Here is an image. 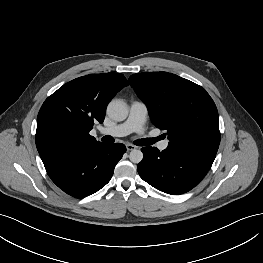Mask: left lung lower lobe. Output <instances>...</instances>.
Here are the masks:
<instances>
[{
  "label": "left lung lower lobe",
  "instance_id": "obj_1",
  "mask_svg": "<svg viewBox=\"0 0 263 263\" xmlns=\"http://www.w3.org/2000/svg\"><path fill=\"white\" fill-rule=\"evenodd\" d=\"M141 150L144 157L137 166L140 177L154 188L172 195L194 188L211 168L216 156V153L169 144L162 152L156 147Z\"/></svg>",
  "mask_w": 263,
  "mask_h": 263
}]
</instances>
